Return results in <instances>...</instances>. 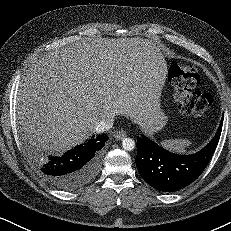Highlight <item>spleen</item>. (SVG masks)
I'll return each instance as SVG.
<instances>
[{"label": "spleen", "mask_w": 231, "mask_h": 231, "mask_svg": "<svg viewBox=\"0 0 231 231\" xmlns=\"http://www.w3.org/2000/svg\"><path fill=\"white\" fill-rule=\"evenodd\" d=\"M190 144L191 142L186 139H169L161 142L162 147L177 153H184Z\"/></svg>", "instance_id": "spleen-1"}]
</instances>
